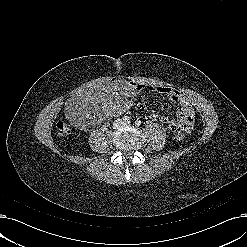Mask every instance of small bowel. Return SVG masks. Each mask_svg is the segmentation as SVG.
Returning a JSON list of instances; mask_svg holds the SVG:
<instances>
[{
    "label": "small bowel",
    "mask_w": 247,
    "mask_h": 247,
    "mask_svg": "<svg viewBox=\"0 0 247 247\" xmlns=\"http://www.w3.org/2000/svg\"><path fill=\"white\" fill-rule=\"evenodd\" d=\"M140 89H147L151 92L164 94L167 98L174 102L178 107L177 117L173 116H164L160 120L169 126L170 129L177 131L182 130L190 132L194 126V109L190 102L177 90L160 85H140ZM156 116H153V119H156Z\"/></svg>",
    "instance_id": "1"
}]
</instances>
